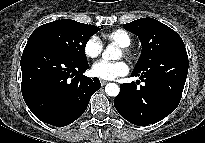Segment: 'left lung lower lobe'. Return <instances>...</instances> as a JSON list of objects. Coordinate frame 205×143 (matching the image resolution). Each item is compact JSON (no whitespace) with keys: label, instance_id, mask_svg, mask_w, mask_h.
<instances>
[{"label":"left lung lower lobe","instance_id":"0a47b994","mask_svg":"<svg viewBox=\"0 0 205 143\" xmlns=\"http://www.w3.org/2000/svg\"><path fill=\"white\" fill-rule=\"evenodd\" d=\"M188 73V55L184 45L168 49L143 71H133L144 86L120 85L114 99L118 113L134 125L155 124L178 106ZM140 82V81H138Z\"/></svg>","mask_w":205,"mask_h":143}]
</instances>
